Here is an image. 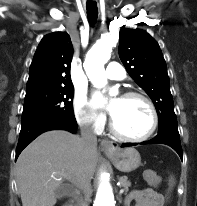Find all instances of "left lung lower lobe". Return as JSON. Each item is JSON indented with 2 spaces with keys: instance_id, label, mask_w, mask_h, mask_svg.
Instances as JSON below:
<instances>
[{
  "instance_id": "obj_1",
  "label": "left lung lower lobe",
  "mask_w": 197,
  "mask_h": 206,
  "mask_svg": "<svg viewBox=\"0 0 197 206\" xmlns=\"http://www.w3.org/2000/svg\"><path fill=\"white\" fill-rule=\"evenodd\" d=\"M141 144H165L173 148L180 156L181 159H183V153L180 143V136L177 133H171L166 132L162 134H158L156 137L149 141H144ZM137 143H125L122 145V147H129V146H135Z\"/></svg>"
}]
</instances>
